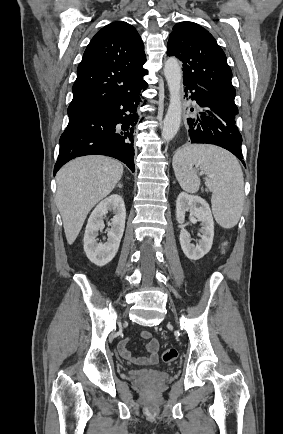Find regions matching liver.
Masks as SVG:
<instances>
[{
    "instance_id": "obj_1",
    "label": "liver",
    "mask_w": 283,
    "mask_h": 434,
    "mask_svg": "<svg viewBox=\"0 0 283 434\" xmlns=\"http://www.w3.org/2000/svg\"><path fill=\"white\" fill-rule=\"evenodd\" d=\"M122 175V164L102 155L79 157L60 169L55 199L68 244L74 243L90 210L112 192Z\"/></svg>"
}]
</instances>
